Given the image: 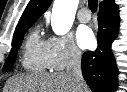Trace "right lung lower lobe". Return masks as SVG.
<instances>
[{"instance_id": "1", "label": "right lung lower lobe", "mask_w": 127, "mask_h": 92, "mask_svg": "<svg viewBox=\"0 0 127 92\" xmlns=\"http://www.w3.org/2000/svg\"><path fill=\"white\" fill-rule=\"evenodd\" d=\"M118 6L101 5L98 15V47L82 56V74L93 92H112L117 84L118 70L111 50L119 30Z\"/></svg>"}]
</instances>
